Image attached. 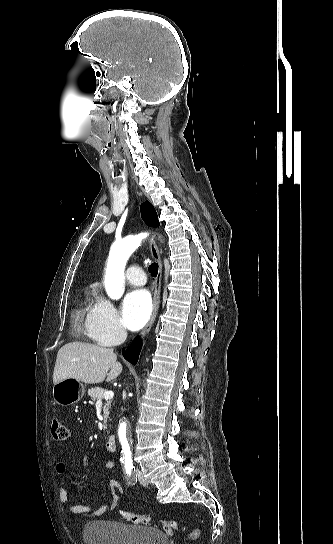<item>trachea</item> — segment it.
I'll return each mask as SVG.
<instances>
[{
  "mask_svg": "<svg viewBox=\"0 0 333 544\" xmlns=\"http://www.w3.org/2000/svg\"><path fill=\"white\" fill-rule=\"evenodd\" d=\"M150 273L153 277H156L157 273H158V264L157 263H152L150 265Z\"/></svg>",
  "mask_w": 333,
  "mask_h": 544,
  "instance_id": "3493384b",
  "label": "trachea"
}]
</instances>
